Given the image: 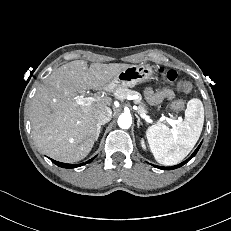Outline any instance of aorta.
<instances>
[{
  "label": "aorta",
  "mask_w": 231,
  "mask_h": 231,
  "mask_svg": "<svg viewBox=\"0 0 231 231\" xmlns=\"http://www.w3.org/2000/svg\"><path fill=\"white\" fill-rule=\"evenodd\" d=\"M132 124L131 116L127 114H122L118 118V125L122 129H128Z\"/></svg>",
  "instance_id": "obj_1"
}]
</instances>
